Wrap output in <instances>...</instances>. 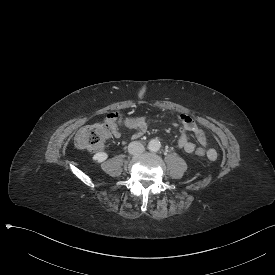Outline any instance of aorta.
<instances>
[{
	"mask_svg": "<svg viewBox=\"0 0 275 275\" xmlns=\"http://www.w3.org/2000/svg\"><path fill=\"white\" fill-rule=\"evenodd\" d=\"M161 147V142L158 139H152L148 143V148L152 152H156L160 149Z\"/></svg>",
	"mask_w": 275,
	"mask_h": 275,
	"instance_id": "aorta-1",
	"label": "aorta"
}]
</instances>
